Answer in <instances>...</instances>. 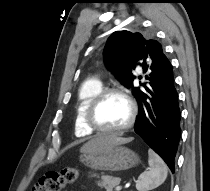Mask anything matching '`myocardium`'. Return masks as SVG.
Segmentation results:
<instances>
[{"label": "myocardium", "mask_w": 210, "mask_h": 191, "mask_svg": "<svg viewBox=\"0 0 210 191\" xmlns=\"http://www.w3.org/2000/svg\"><path fill=\"white\" fill-rule=\"evenodd\" d=\"M109 95H119L123 97L129 105V119L123 126L118 128H104L96 120V111L98 106L103 101V99ZM136 116L137 106L133 98L125 90L118 87H111L102 89L98 94L93 97L85 112V122L87 126L93 131L105 134H119L130 129L133 126L136 120Z\"/></svg>", "instance_id": "f54148a6"}]
</instances>
